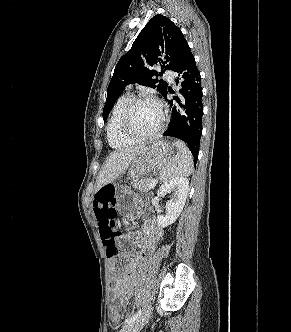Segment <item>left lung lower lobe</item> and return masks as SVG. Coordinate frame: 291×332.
<instances>
[{
    "mask_svg": "<svg viewBox=\"0 0 291 332\" xmlns=\"http://www.w3.org/2000/svg\"><path fill=\"white\" fill-rule=\"evenodd\" d=\"M173 71L178 73L176 84L181 89L174 95L173 100L167 99L171 106V119L163 135L181 139L191 147L196 142L200 143L203 104L201 76L189 45L186 46L179 64ZM167 94L168 91L163 97L167 98ZM198 152L199 149L192 152L195 162L198 159Z\"/></svg>",
    "mask_w": 291,
    "mask_h": 332,
    "instance_id": "left-lung-lower-lobe-1",
    "label": "left lung lower lobe"
}]
</instances>
